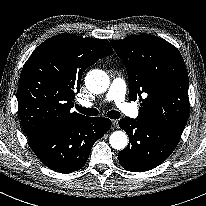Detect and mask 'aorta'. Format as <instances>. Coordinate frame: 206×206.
Instances as JSON below:
<instances>
[{
	"mask_svg": "<svg viewBox=\"0 0 206 206\" xmlns=\"http://www.w3.org/2000/svg\"><path fill=\"white\" fill-rule=\"evenodd\" d=\"M109 82V76L102 70H92L85 78L87 89L94 94L105 92ZM109 143L112 148L122 150L128 144V137L123 131H115L110 135Z\"/></svg>",
	"mask_w": 206,
	"mask_h": 206,
	"instance_id": "762f6f07",
	"label": "aorta"
}]
</instances>
